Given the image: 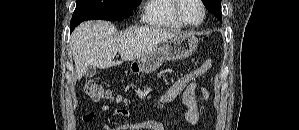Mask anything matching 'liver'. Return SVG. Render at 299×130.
Wrapping results in <instances>:
<instances>
[{"label": "liver", "mask_w": 299, "mask_h": 130, "mask_svg": "<svg viewBox=\"0 0 299 130\" xmlns=\"http://www.w3.org/2000/svg\"><path fill=\"white\" fill-rule=\"evenodd\" d=\"M179 34L177 30L143 26L117 35L116 27L108 21L83 22L72 33L70 43L77 79L87 66L105 69L136 60ZM117 52L121 61H114Z\"/></svg>", "instance_id": "1"}]
</instances>
